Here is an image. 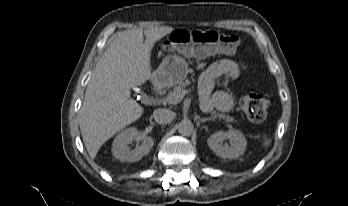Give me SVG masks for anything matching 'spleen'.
I'll return each mask as SVG.
<instances>
[{"instance_id": "spleen-1", "label": "spleen", "mask_w": 348, "mask_h": 206, "mask_svg": "<svg viewBox=\"0 0 348 206\" xmlns=\"http://www.w3.org/2000/svg\"><path fill=\"white\" fill-rule=\"evenodd\" d=\"M270 143H271V139L266 138V139H264L262 145H263L264 148H266V147H268L270 145Z\"/></svg>"}]
</instances>
